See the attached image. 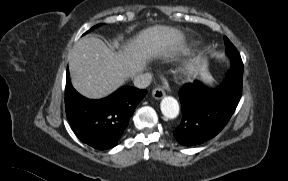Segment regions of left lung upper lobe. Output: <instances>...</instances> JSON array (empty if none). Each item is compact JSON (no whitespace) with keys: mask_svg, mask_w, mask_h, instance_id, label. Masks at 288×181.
<instances>
[{"mask_svg":"<svg viewBox=\"0 0 288 181\" xmlns=\"http://www.w3.org/2000/svg\"><path fill=\"white\" fill-rule=\"evenodd\" d=\"M225 45H226V51L227 54L231 58V70L229 71V75L227 79L236 81V82H242L243 77V63L241 60V57L237 51V49L234 47V45L229 41L227 37H225Z\"/></svg>","mask_w":288,"mask_h":181,"instance_id":"left-lung-upper-lobe-1","label":"left lung upper lobe"}]
</instances>
